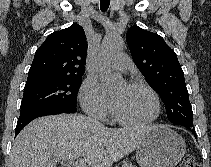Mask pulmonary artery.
<instances>
[{
  "label": "pulmonary artery",
  "instance_id": "e3ab8cb5",
  "mask_svg": "<svg viewBox=\"0 0 211 167\" xmlns=\"http://www.w3.org/2000/svg\"><path fill=\"white\" fill-rule=\"evenodd\" d=\"M110 66L115 70L127 71L131 68L132 63L127 54L120 53L112 60Z\"/></svg>",
  "mask_w": 211,
  "mask_h": 167
}]
</instances>
